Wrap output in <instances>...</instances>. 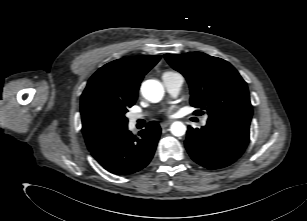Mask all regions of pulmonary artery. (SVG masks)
<instances>
[{
  "label": "pulmonary artery",
  "mask_w": 307,
  "mask_h": 221,
  "mask_svg": "<svg viewBox=\"0 0 307 221\" xmlns=\"http://www.w3.org/2000/svg\"><path fill=\"white\" fill-rule=\"evenodd\" d=\"M162 80L165 89L170 95L177 96L180 93L184 83V78L181 74H163ZM141 118H143L142 114H134L130 117V123L134 124L138 119ZM202 123L205 125L207 123V118H204Z\"/></svg>",
  "instance_id": "pulmonary-artery-1"
}]
</instances>
